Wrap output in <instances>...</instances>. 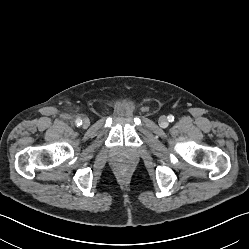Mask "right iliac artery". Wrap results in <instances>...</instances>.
Returning a JSON list of instances; mask_svg holds the SVG:
<instances>
[{"label": "right iliac artery", "instance_id": "obj_1", "mask_svg": "<svg viewBox=\"0 0 249 249\" xmlns=\"http://www.w3.org/2000/svg\"><path fill=\"white\" fill-rule=\"evenodd\" d=\"M75 123H76L77 126H80V125L82 124V120L78 118V119L75 121Z\"/></svg>", "mask_w": 249, "mask_h": 249}]
</instances>
